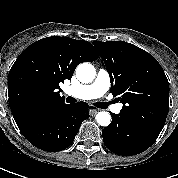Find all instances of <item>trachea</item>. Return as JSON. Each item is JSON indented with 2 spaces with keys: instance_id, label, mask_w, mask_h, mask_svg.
I'll return each mask as SVG.
<instances>
[{
  "instance_id": "obj_1",
  "label": "trachea",
  "mask_w": 178,
  "mask_h": 178,
  "mask_svg": "<svg viewBox=\"0 0 178 178\" xmlns=\"http://www.w3.org/2000/svg\"><path fill=\"white\" fill-rule=\"evenodd\" d=\"M94 106L101 108V109H105L106 108V104L104 102H97L94 103Z\"/></svg>"
}]
</instances>
